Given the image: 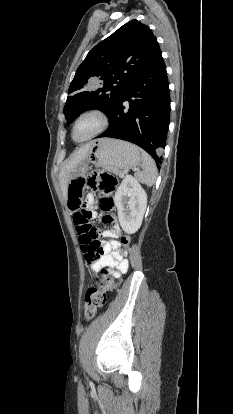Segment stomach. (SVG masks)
Returning a JSON list of instances; mask_svg holds the SVG:
<instances>
[{"mask_svg": "<svg viewBox=\"0 0 233 414\" xmlns=\"http://www.w3.org/2000/svg\"><path fill=\"white\" fill-rule=\"evenodd\" d=\"M86 159L72 172L67 185L66 202L69 209H76L85 193V173L90 165L102 167L111 172L129 170L142 161L140 149L130 143L114 139H99L90 143Z\"/></svg>", "mask_w": 233, "mask_h": 414, "instance_id": "obj_1", "label": "stomach"}]
</instances>
